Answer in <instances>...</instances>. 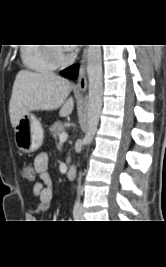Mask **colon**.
Segmentation results:
<instances>
[{
  "instance_id": "obj_1",
  "label": "colon",
  "mask_w": 166,
  "mask_h": 267,
  "mask_svg": "<svg viewBox=\"0 0 166 267\" xmlns=\"http://www.w3.org/2000/svg\"><path fill=\"white\" fill-rule=\"evenodd\" d=\"M23 172L21 174V177L22 178H27V182H36V174L33 173V170H32V167L30 166H25L24 169H23Z\"/></svg>"
}]
</instances>
